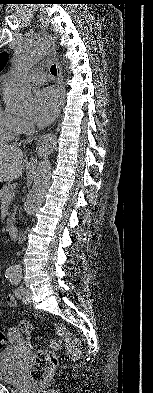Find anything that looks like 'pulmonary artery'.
Instances as JSON below:
<instances>
[{"mask_svg": "<svg viewBox=\"0 0 153 393\" xmlns=\"http://www.w3.org/2000/svg\"><path fill=\"white\" fill-rule=\"evenodd\" d=\"M25 79H27L28 81L34 84H41L45 81L46 78L44 74L38 71H32L27 76H25Z\"/></svg>", "mask_w": 153, "mask_h": 393, "instance_id": "1", "label": "pulmonary artery"}]
</instances>
